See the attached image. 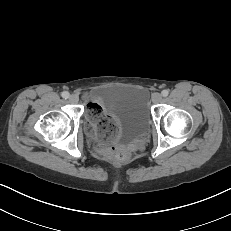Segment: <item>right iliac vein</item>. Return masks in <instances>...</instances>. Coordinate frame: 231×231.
Segmentation results:
<instances>
[{"label":"right iliac vein","instance_id":"obj_1","mask_svg":"<svg viewBox=\"0 0 231 231\" xmlns=\"http://www.w3.org/2000/svg\"><path fill=\"white\" fill-rule=\"evenodd\" d=\"M69 101H70L71 103H77V102L79 101V98H78L77 95L72 94V95L69 97Z\"/></svg>","mask_w":231,"mask_h":231}]
</instances>
